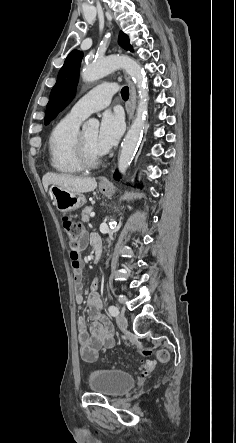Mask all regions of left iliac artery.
<instances>
[{
  "label": "left iliac artery",
  "mask_w": 236,
  "mask_h": 443,
  "mask_svg": "<svg viewBox=\"0 0 236 443\" xmlns=\"http://www.w3.org/2000/svg\"><path fill=\"white\" fill-rule=\"evenodd\" d=\"M108 311H109V314L113 317H115L119 314V309L114 305H110L108 308Z\"/></svg>",
  "instance_id": "obj_1"
}]
</instances>
